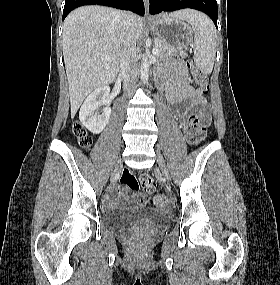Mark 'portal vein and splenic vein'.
Instances as JSON below:
<instances>
[{"mask_svg": "<svg viewBox=\"0 0 280 285\" xmlns=\"http://www.w3.org/2000/svg\"><path fill=\"white\" fill-rule=\"evenodd\" d=\"M152 53H153L154 55H156V54L158 53V48H157V47H154L153 50H152ZM105 59H106V60H110V57H109V56H106Z\"/></svg>", "mask_w": 280, "mask_h": 285, "instance_id": "obj_1", "label": "portal vein and splenic vein"}]
</instances>
